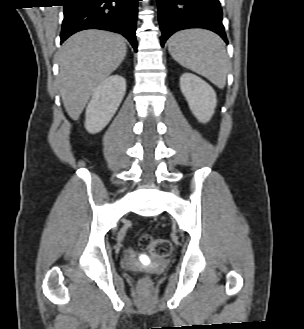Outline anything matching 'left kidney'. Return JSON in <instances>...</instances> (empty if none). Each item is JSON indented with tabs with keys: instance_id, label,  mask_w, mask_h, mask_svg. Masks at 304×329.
I'll return each mask as SVG.
<instances>
[{
	"instance_id": "obj_1",
	"label": "left kidney",
	"mask_w": 304,
	"mask_h": 329,
	"mask_svg": "<svg viewBox=\"0 0 304 329\" xmlns=\"http://www.w3.org/2000/svg\"><path fill=\"white\" fill-rule=\"evenodd\" d=\"M180 89L188 102L193 115L202 123H207L215 112L216 93L213 88L200 77L184 73L180 77Z\"/></svg>"
}]
</instances>
